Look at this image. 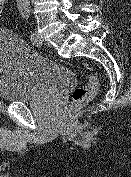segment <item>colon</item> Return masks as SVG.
I'll use <instances>...</instances> for the list:
<instances>
[{
	"mask_svg": "<svg viewBox=\"0 0 131 177\" xmlns=\"http://www.w3.org/2000/svg\"><path fill=\"white\" fill-rule=\"evenodd\" d=\"M7 0H0V14L6 8ZM99 88V81L93 74L87 75V84L85 86L76 87L71 95L72 109H78L91 101Z\"/></svg>",
	"mask_w": 131,
	"mask_h": 177,
	"instance_id": "1",
	"label": "colon"
}]
</instances>
